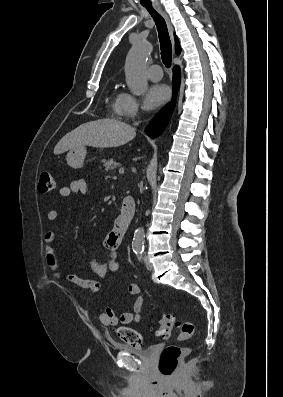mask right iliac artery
Returning <instances> with one entry per match:
<instances>
[{"mask_svg": "<svg viewBox=\"0 0 283 397\" xmlns=\"http://www.w3.org/2000/svg\"><path fill=\"white\" fill-rule=\"evenodd\" d=\"M137 255H139V254H141L142 253V251H137V252H135Z\"/></svg>", "mask_w": 283, "mask_h": 397, "instance_id": "1", "label": "right iliac artery"}]
</instances>
